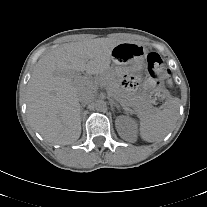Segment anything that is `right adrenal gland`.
Instances as JSON below:
<instances>
[{"instance_id": "2a0ac1e0", "label": "right adrenal gland", "mask_w": 207, "mask_h": 207, "mask_svg": "<svg viewBox=\"0 0 207 207\" xmlns=\"http://www.w3.org/2000/svg\"><path fill=\"white\" fill-rule=\"evenodd\" d=\"M84 107H85V104H82V105L80 106L81 114H82V112H83Z\"/></svg>"}]
</instances>
